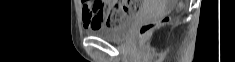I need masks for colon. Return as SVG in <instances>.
<instances>
[{
	"label": "colon",
	"instance_id": "5ec220e1",
	"mask_svg": "<svg viewBox=\"0 0 235 62\" xmlns=\"http://www.w3.org/2000/svg\"><path fill=\"white\" fill-rule=\"evenodd\" d=\"M134 7L133 10H138V5L136 3H133ZM99 6V8H103L101 4H96ZM110 13L107 21V25L114 26L117 25L122 17L125 15V8L120 5V3H113L110 7ZM165 19L155 22H147L141 25L139 29V36L140 38H145L154 28H156L159 24L163 23Z\"/></svg>",
	"mask_w": 235,
	"mask_h": 62
}]
</instances>
